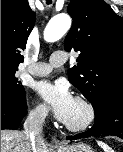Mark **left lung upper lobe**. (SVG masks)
<instances>
[{
	"instance_id": "obj_1",
	"label": "left lung upper lobe",
	"mask_w": 123,
	"mask_h": 152,
	"mask_svg": "<svg viewBox=\"0 0 123 152\" xmlns=\"http://www.w3.org/2000/svg\"><path fill=\"white\" fill-rule=\"evenodd\" d=\"M73 25L66 51L79 53L68 70L69 81L95 107L112 95H123V18L102 0H71Z\"/></svg>"
}]
</instances>
